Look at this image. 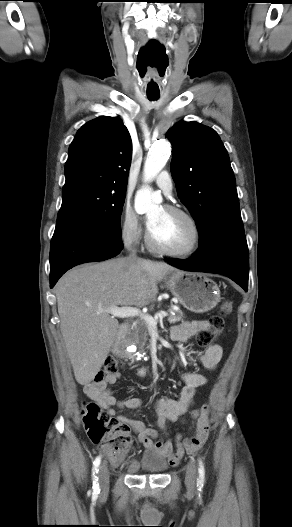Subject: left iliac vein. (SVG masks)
Wrapping results in <instances>:
<instances>
[{"label":"left iliac vein","mask_w":292,"mask_h":527,"mask_svg":"<svg viewBox=\"0 0 292 527\" xmlns=\"http://www.w3.org/2000/svg\"><path fill=\"white\" fill-rule=\"evenodd\" d=\"M195 479H196V467L194 463L191 462L188 465L187 472H186V478H185V483L189 491H193L194 486H195Z\"/></svg>","instance_id":"left-iliac-vein-1"}]
</instances>
